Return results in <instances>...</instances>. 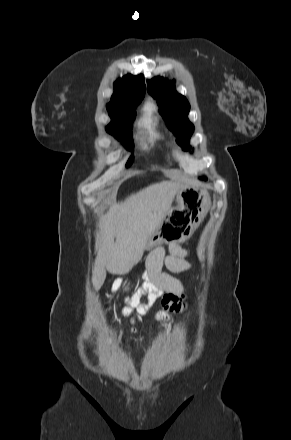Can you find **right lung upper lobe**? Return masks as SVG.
<instances>
[{"label":"right lung upper lobe","instance_id":"1","mask_svg":"<svg viewBox=\"0 0 291 440\" xmlns=\"http://www.w3.org/2000/svg\"><path fill=\"white\" fill-rule=\"evenodd\" d=\"M145 94V84L143 75H126L115 83L114 93L110 103L107 105L108 111H130L142 101Z\"/></svg>","mask_w":291,"mask_h":440}]
</instances>
